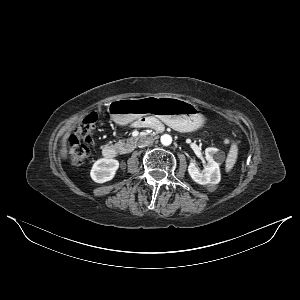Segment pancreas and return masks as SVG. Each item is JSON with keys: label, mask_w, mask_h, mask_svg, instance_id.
Returning <instances> with one entry per match:
<instances>
[{"label": "pancreas", "mask_w": 300, "mask_h": 300, "mask_svg": "<svg viewBox=\"0 0 300 300\" xmlns=\"http://www.w3.org/2000/svg\"><path fill=\"white\" fill-rule=\"evenodd\" d=\"M137 138H131L127 140H120L116 143V146L119 147L122 153H127L131 151L130 143L135 142Z\"/></svg>", "instance_id": "1"}]
</instances>
